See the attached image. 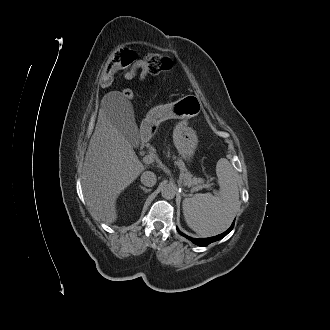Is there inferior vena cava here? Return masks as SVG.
<instances>
[{
  "label": "inferior vena cava",
  "instance_id": "inferior-vena-cava-1",
  "mask_svg": "<svg viewBox=\"0 0 330 330\" xmlns=\"http://www.w3.org/2000/svg\"><path fill=\"white\" fill-rule=\"evenodd\" d=\"M156 175L151 171H145L141 175V183L147 187H152L156 184Z\"/></svg>",
  "mask_w": 330,
  "mask_h": 330
}]
</instances>
